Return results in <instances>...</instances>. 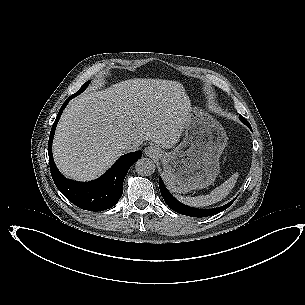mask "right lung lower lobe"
Instances as JSON below:
<instances>
[{
    "label": "right lung lower lobe",
    "mask_w": 305,
    "mask_h": 305,
    "mask_svg": "<svg viewBox=\"0 0 305 305\" xmlns=\"http://www.w3.org/2000/svg\"><path fill=\"white\" fill-rule=\"evenodd\" d=\"M70 96L60 108L52 126L48 155L51 175L59 191L76 206L88 211H102L113 207L123 193V181L131 165L141 158L142 152L136 151L121 156L101 177L90 182H76L65 178L57 169L52 156V141L57 122L68 104Z\"/></svg>",
    "instance_id": "obj_1"
}]
</instances>
